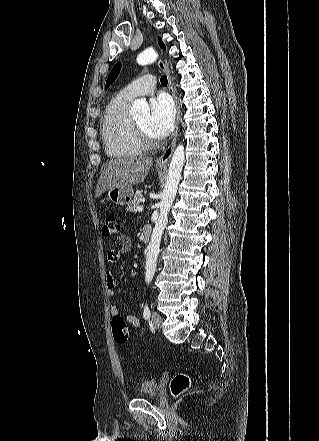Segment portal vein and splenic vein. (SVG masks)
Wrapping results in <instances>:
<instances>
[{
  "instance_id": "1",
  "label": "portal vein and splenic vein",
  "mask_w": 319,
  "mask_h": 441,
  "mask_svg": "<svg viewBox=\"0 0 319 441\" xmlns=\"http://www.w3.org/2000/svg\"><path fill=\"white\" fill-rule=\"evenodd\" d=\"M136 211H138V212H142V211H143V206H139V207H137Z\"/></svg>"
}]
</instances>
